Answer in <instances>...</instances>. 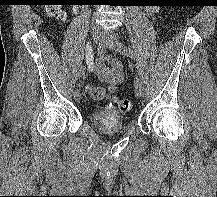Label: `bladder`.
Listing matches in <instances>:
<instances>
[{
    "label": "bladder",
    "mask_w": 217,
    "mask_h": 197,
    "mask_svg": "<svg viewBox=\"0 0 217 197\" xmlns=\"http://www.w3.org/2000/svg\"><path fill=\"white\" fill-rule=\"evenodd\" d=\"M91 120L98 130L106 134L120 133L127 129L124 117L116 112L109 114L95 113Z\"/></svg>",
    "instance_id": "obj_1"
}]
</instances>
